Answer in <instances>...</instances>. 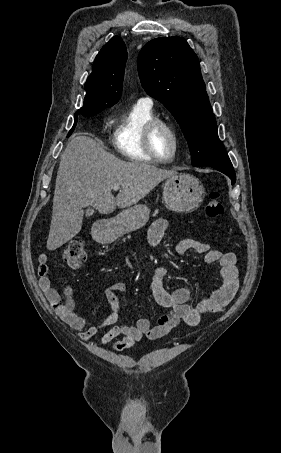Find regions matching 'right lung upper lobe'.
Masks as SVG:
<instances>
[{
  "instance_id": "right-lung-upper-lobe-1",
  "label": "right lung upper lobe",
  "mask_w": 281,
  "mask_h": 453,
  "mask_svg": "<svg viewBox=\"0 0 281 453\" xmlns=\"http://www.w3.org/2000/svg\"><path fill=\"white\" fill-rule=\"evenodd\" d=\"M127 49L123 40L113 37L95 58L92 73L85 83L84 106L78 111L102 110L121 98Z\"/></svg>"
}]
</instances>
